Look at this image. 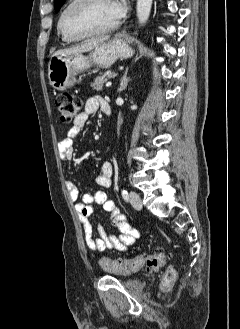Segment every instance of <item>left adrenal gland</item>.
Masks as SVG:
<instances>
[{
    "label": "left adrenal gland",
    "instance_id": "a2214340",
    "mask_svg": "<svg viewBox=\"0 0 240 329\" xmlns=\"http://www.w3.org/2000/svg\"><path fill=\"white\" fill-rule=\"evenodd\" d=\"M127 73H128V68H126V71L124 72V75L120 80L118 92L125 90L130 81V78L127 77Z\"/></svg>",
    "mask_w": 240,
    "mask_h": 329
}]
</instances>
